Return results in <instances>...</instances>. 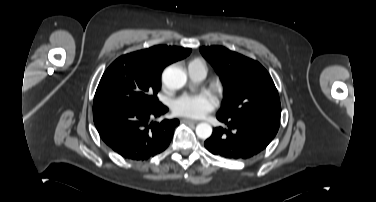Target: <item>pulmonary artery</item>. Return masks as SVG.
<instances>
[{
	"instance_id": "pulmonary-artery-1",
	"label": "pulmonary artery",
	"mask_w": 376,
	"mask_h": 202,
	"mask_svg": "<svg viewBox=\"0 0 376 202\" xmlns=\"http://www.w3.org/2000/svg\"><path fill=\"white\" fill-rule=\"evenodd\" d=\"M207 74V68L202 64H192L189 66V75L192 79L200 81L205 78Z\"/></svg>"
}]
</instances>
